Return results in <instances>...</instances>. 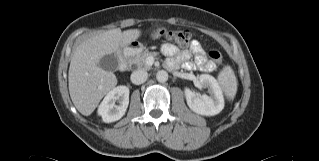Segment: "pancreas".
<instances>
[{
  "label": "pancreas",
  "instance_id": "pancreas-1",
  "mask_svg": "<svg viewBox=\"0 0 319 161\" xmlns=\"http://www.w3.org/2000/svg\"><path fill=\"white\" fill-rule=\"evenodd\" d=\"M149 56H155L154 53L144 52L141 54H137L129 58V64H135L139 69L149 70L151 68L150 65L146 63V59Z\"/></svg>",
  "mask_w": 319,
  "mask_h": 161
}]
</instances>
